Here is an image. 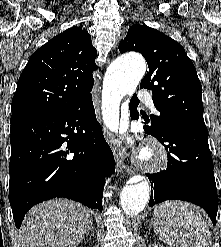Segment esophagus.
Instances as JSON below:
<instances>
[{
  "label": "esophagus",
  "mask_w": 221,
  "mask_h": 247,
  "mask_svg": "<svg viewBox=\"0 0 221 247\" xmlns=\"http://www.w3.org/2000/svg\"><path fill=\"white\" fill-rule=\"evenodd\" d=\"M104 133L106 140L110 144L113 154L115 156L117 170L125 171L128 174H132L133 173L132 169L128 165H126L123 161V152L119 151L118 147L116 146L112 133L109 132L107 129L104 130Z\"/></svg>",
  "instance_id": "34e87169"
}]
</instances>
